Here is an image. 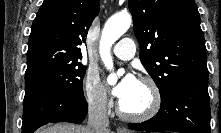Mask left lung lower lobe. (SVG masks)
Instances as JSON below:
<instances>
[{"label":"left lung lower lobe","mask_w":221,"mask_h":133,"mask_svg":"<svg viewBox=\"0 0 221 133\" xmlns=\"http://www.w3.org/2000/svg\"><path fill=\"white\" fill-rule=\"evenodd\" d=\"M208 80L187 79L161 97L156 116L142 123H129L133 130L211 133Z\"/></svg>","instance_id":"0a47b994"}]
</instances>
